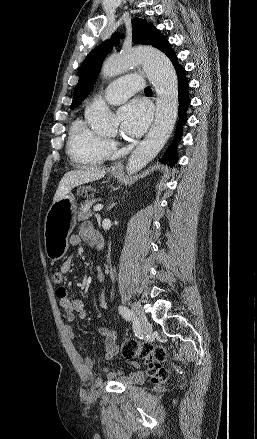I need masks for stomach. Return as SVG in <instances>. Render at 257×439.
<instances>
[{
    "instance_id": "1",
    "label": "stomach",
    "mask_w": 257,
    "mask_h": 439,
    "mask_svg": "<svg viewBox=\"0 0 257 439\" xmlns=\"http://www.w3.org/2000/svg\"><path fill=\"white\" fill-rule=\"evenodd\" d=\"M117 177L118 172H111ZM91 187H80L84 192ZM77 205L72 194H67L49 208L44 224V241L46 255L52 261L61 259L68 250V236L76 225Z\"/></svg>"
}]
</instances>
